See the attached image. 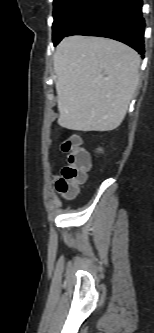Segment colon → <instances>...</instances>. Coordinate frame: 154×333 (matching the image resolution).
<instances>
[{
	"label": "colon",
	"mask_w": 154,
	"mask_h": 333,
	"mask_svg": "<svg viewBox=\"0 0 154 333\" xmlns=\"http://www.w3.org/2000/svg\"><path fill=\"white\" fill-rule=\"evenodd\" d=\"M61 150L67 154V160L55 182V188L63 197L72 198L76 195L79 185L86 180L89 159L76 136L67 137L61 144Z\"/></svg>",
	"instance_id": "1"
}]
</instances>
